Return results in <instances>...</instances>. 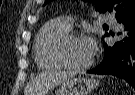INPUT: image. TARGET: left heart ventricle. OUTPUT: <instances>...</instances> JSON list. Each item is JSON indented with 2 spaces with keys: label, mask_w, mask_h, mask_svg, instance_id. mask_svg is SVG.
<instances>
[{
  "label": "left heart ventricle",
  "mask_w": 135,
  "mask_h": 95,
  "mask_svg": "<svg viewBox=\"0 0 135 95\" xmlns=\"http://www.w3.org/2000/svg\"><path fill=\"white\" fill-rule=\"evenodd\" d=\"M66 58L73 64H83L90 60L83 38L72 39L65 48Z\"/></svg>",
  "instance_id": "obj_1"
}]
</instances>
